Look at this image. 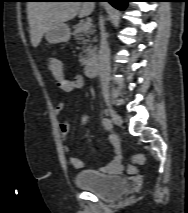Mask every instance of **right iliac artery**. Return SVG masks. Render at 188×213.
<instances>
[{"instance_id":"obj_1","label":"right iliac artery","mask_w":188,"mask_h":213,"mask_svg":"<svg viewBox=\"0 0 188 213\" xmlns=\"http://www.w3.org/2000/svg\"><path fill=\"white\" fill-rule=\"evenodd\" d=\"M102 124L105 127V129H107V130H112V128H113L112 121L108 118H104L102 120Z\"/></svg>"}]
</instances>
